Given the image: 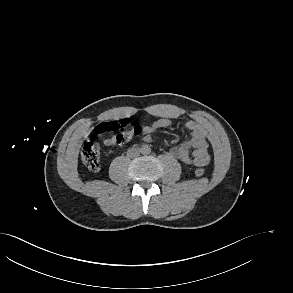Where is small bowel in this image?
Listing matches in <instances>:
<instances>
[{"instance_id": "obj_1", "label": "small bowel", "mask_w": 293, "mask_h": 293, "mask_svg": "<svg viewBox=\"0 0 293 293\" xmlns=\"http://www.w3.org/2000/svg\"><path fill=\"white\" fill-rule=\"evenodd\" d=\"M170 125L171 121L169 119L160 118L147 126L145 133L151 134ZM185 127L189 131V137L183 143L171 149L172 156L187 165L197 167L207 165L210 162V154L205 128L193 120L186 121Z\"/></svg>"}]
</instances>
